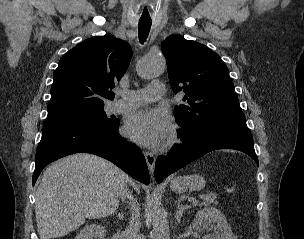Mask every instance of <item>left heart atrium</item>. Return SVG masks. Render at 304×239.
Listing matches in <instances>:
<instances>
[{
  "label": "left heart atrium",
  "instance_id": "left-heart-atrium-1",
  "mask_svg": "<svg viewBox=\"0 0 304 239\" xmlns=\"http://www.w3.org/2000/svg\"><path fill=\"white\" fill-rule=\"evenodd\" d=\"M170 117L163 111L151 108L133 112L125 123V133L133 141L157 147L172 134Z\"/></svg>",
  "mask_w": 304,
  "mask_h": 239
}]
</instances>
